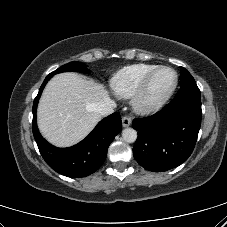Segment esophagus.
Wrapping results in <instances>:
<instances>
[{"label":"esophagus","instance_id":"34e87169","mask_svg":"<svg viewBox=\"0 0 227 227\" xmlns=\"http://www.w3.org/2000/svg\"><path fill=\"white\" fill-rule=\"evenodd\" d=\"M131 124V118L129 116L122 117L123 127H128Z\"/></svg>","mask_w":227,"mask_h":227}]
</instances>
